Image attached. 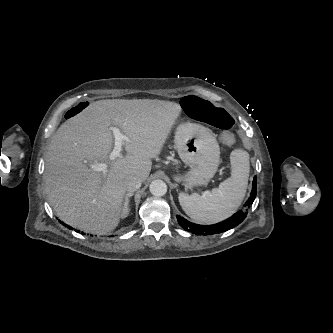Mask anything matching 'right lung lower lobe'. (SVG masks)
Here are the masks:
<instances>
[{
  "label": "right lung lower lobe",
  "instance_id": "98d812e1",
  "mask_svg": "<svg viewBox=\"0 0 333 333\" xmlns=\"http://www.w3.org/2000/svg\"><path fill=\"white\" fill-rule=\"evenodd\" d=\"M62 224L65 226L66 224H64L63 222H62ZM68 228H70V229H72V227H70V226H68V225H66ZM77 232H79V231H77Z\"/></svg>",
  "mask_w": 333,
  "mask_h": 333
}]
</instances>
